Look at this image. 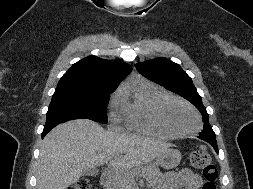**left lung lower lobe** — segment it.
<instances>
[{
	"instance_id": "left-lung-lower-lobe-1",
	"label": "left lung lower lobe",
	"mask_w": 253,
	"mask_h": 189,
	"mask_svg": "<svg viewBox=\"0 0 253 189\" xmlns=\"http://www.w3.org/2000/svg\"><path fill=\"white\" fill-rule=\"evenodd\" d=\"M199 138L209 142L213 148L215 149L216 153H218V146H217V142H216V136H208L205 134H199L198 136Z\"/></svg>"
}]
</instances>
